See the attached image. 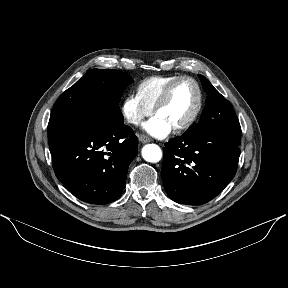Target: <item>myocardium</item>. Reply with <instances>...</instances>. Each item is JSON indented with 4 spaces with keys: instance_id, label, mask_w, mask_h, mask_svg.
Masks as SVG:
<instances>
[{
    "instance_id": "f54148a6",
    "label": "myocardium",
    "mask_w": 288,
    "mask_h": 288,
    "mask_svg": "<svg viewBox=\"0 0 288 288\" xmlns=\"http://www.w3.org/2000/svg\"><path fill=\"white\" fill-rule=\"evenodd\" d=\"M182 81H190L195 86L197 91V103L192 115L187 121L178 126L172 127L175 132H182L191 128L197 122L203 107V92L200 84L193 77L184 75L178 76L166 86L154 106L155 113L157 114V112L168 102L174 88Z\"/></svg>"
}]
</instances>
